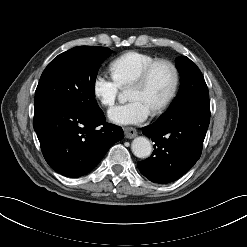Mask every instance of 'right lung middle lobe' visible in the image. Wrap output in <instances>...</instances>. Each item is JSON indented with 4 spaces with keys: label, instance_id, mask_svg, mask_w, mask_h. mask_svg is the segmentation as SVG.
<instances>
[{
    "label": "right lung middle lobe",
    "instance_id": "obj_1",
    "mask_svg": "<svg viewBox=\"0 0 247 247\" xmlns=\"http://www.w3.org/2000/svg\"><path fill=\"white\" fill-rule=\"evenodd\" d=\"M110 53L106 47L79 46L55 57L36 88L35 110L65 101L85 110H99L94 86L98 69Z\"/></svg>",
    "mask_w": 247,
    "mask_h": 247
}]
</instances>
